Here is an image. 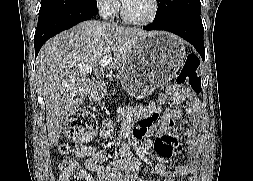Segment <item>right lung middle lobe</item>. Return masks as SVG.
<instances>
[{
	"instance_id": "obj_1",
	"label": "right lung middle lobe",
	"mask_w": 253,
	"mask_h": 181,
	"mask_svg": "<svg viewBox=\"0 0 253 181\" xmlns=\"http://www.w3.org/2000/svg\"><path fill=\"white\" fill-rule=\"evenodd\" d=\"M73 7H83L97 11V2L96 0H41L39 18Z\"/></svg>"
}]
</instances>
